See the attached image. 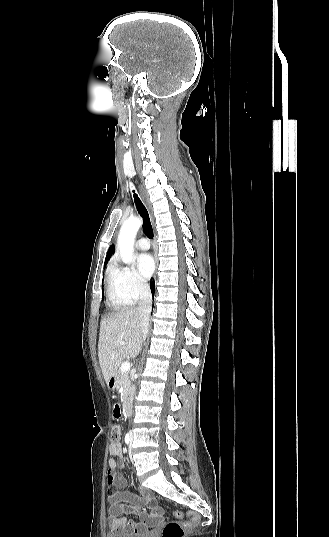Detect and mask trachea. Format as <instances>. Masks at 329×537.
Here are the masks:
<instances>
[{"label":"trachea","instance_id":"1","mask_svg":"<svg viewBox=\"0 0 329 537\" xmlns=\"http://www.w3.org/2000/svg\"><path fill=\"white\" fill-rule=\"evenodd\" d=\"M133 193H134L133 197H134V201H135L137 210H138L139 214L143 217L144 232L147 235V237L151 239V238H153V230H152V226H151V223H150L148 212H147L145 206L143 205L142 201L140 200V198L138 197V195L135 193L134 190H133Z\"/></svg>","mask_w":329,"mask_h":537}]
</instances>
